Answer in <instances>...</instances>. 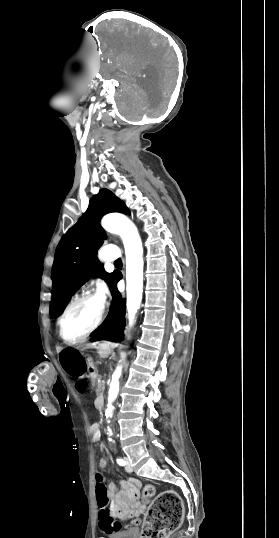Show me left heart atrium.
<instances>
[{"label":"left heart atrium","mask_w":279,"mask_h":538,"mask_svg":"<svg viewBox=\"0 0 279 538\" xmlns=\"http://www.w3.org/2000/svg\"><path fill=\"white\" fill-rule=\"evenodd\" d=\"M97 292H98V297H99V300L102 302V303H105L106 302V299L109 295V289H108V286L105 284V283H100L98 285V288H97Z\"/></svg>","instance_id":"left-heart-atrium-1"}]
</instances>
